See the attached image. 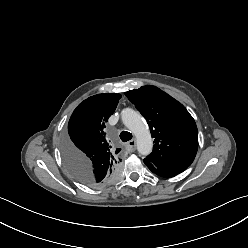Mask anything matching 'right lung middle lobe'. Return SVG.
Returning a JSON list of instances; mask_svg holds the SVG:
<instances>
[{"label": "right lung middle lobe", "mask_w": 248, "mask_h": 248, "mask_svg": "<svg viewBox=\"0 0 248 248\" xmlns=\"http://www.w3.org/2000/svg\"><path fill=\"white\" fill-rule=\"evenodd\" d=\"M67 149H68V142H66V143L64 144V146H63V152H64L65 150H67ZM67 168H68V167H67ZM68 170L70 171V173H71L77 180L82 181V175H83V173H82L81 170H79L78 168L75 169V170H72V169L68 168Z\"/></svg>", "instance_id": "right-lung-middle-lobe-1"}]
</instances>
